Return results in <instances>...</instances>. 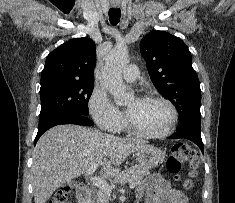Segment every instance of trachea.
<instances>
[{
	"label": "trachea",
	"instance_id": "obj_1",
	"mask_svg": "<svg viewBox=\"0 0 235 203\" xmlns=\"http://www.w3.org/2000/svg\"><path fill=\"white\" fill-rule=\"evenodd\" d=\"M121 11L120 9L111 8L109 10V21L112 25H117L120 21Z\"/></svg>",
	"mask_w": 235,
	"mask_h": 203
}]
</instances>
